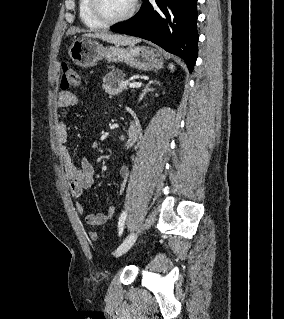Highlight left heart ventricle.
Masks as SVG:
<instances>
[{
    "label": "left heart ventricle",
    "instance_id": "left-heart-ventricle-1",
    "mask_svg": "<svg viewBox=\"0 0 284 319\" xmlns=\"http://www.w3.org/2000/svg\"><path fill=\"white\" fill-rule=\"evenodd\" d=\"M101 8L107 17L115 18L124 14L130 7L132 0H100Z\"/></svg>",
    "mask_w": 284,
    "mask_h": 319
}]
</instances>
